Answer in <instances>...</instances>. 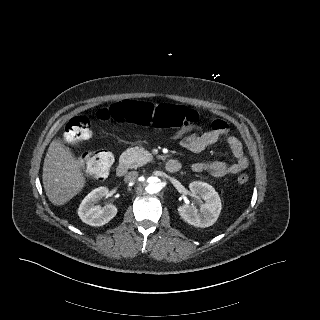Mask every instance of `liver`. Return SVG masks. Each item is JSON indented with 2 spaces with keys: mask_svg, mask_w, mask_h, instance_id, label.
Segmentation results:
<instances>
[{
  "mask_svg": "<svg viewBox=\"0 0 320 320\" xmlns=\"http://www.w3.org/2000/svg\"><path fill=\"white\" fill-rule=\"evenodd\" d=\"M42 178L46 195L56 206L67 203L85 185V178L72 153L57 140H53L47 150Z\"/></svg>",
  "mask_w": 320,
  "mask_h": 320,
  "instance_id": "liver-1",
  "label": "liver"
}]
</instances>
